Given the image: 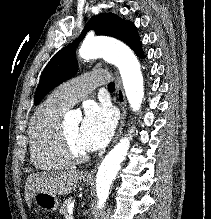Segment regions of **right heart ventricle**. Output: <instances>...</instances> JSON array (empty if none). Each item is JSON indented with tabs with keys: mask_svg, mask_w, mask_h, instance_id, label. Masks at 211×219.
<instances>
[{
	"mask_svg": "<svg viewBox=\"0 0 211 219\" xmlns=\"http://www.w3.org/2000/svg\"><path fill=\"white\" fill-rule=\"evenodd\" d=\"M66 109L48 98L31 118L30 159L39 170H59L72 165V162L63 155L58 138L59 121Z\"/></svg>",
	"mask_w": 211,
	"mask_h": 219,
	"instance_id": "1",
	"label": "right heart ventricle"
}]
</instances>
